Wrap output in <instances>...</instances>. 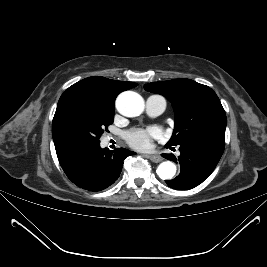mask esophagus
<instances>
[{
  "instance_id": "obj_1",
  "label": "esophagus",
  "mask_w": 267,
  "mask_h": 267,
  "mask_svg": "<svg viewBox=\"0 0 267 267\" xmlns=\"http://www.w3.org/2000/svg\"><path fill=\"white\" fill-rule=\"evenodd\" d=\"M147 157L154 163H158L162 161V158L158 155H147Z\"/></svg>"
}]
</instances>
